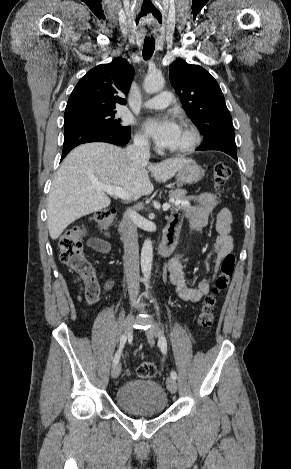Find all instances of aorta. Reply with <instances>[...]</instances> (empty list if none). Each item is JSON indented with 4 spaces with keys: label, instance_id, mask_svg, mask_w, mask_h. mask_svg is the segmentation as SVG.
<instances>
[{
    "label": "aorta",
    "instance_id": "762f6f07",
    "mask_svg": "<svg viewBox=\"0 0 291 469\" xmlns=\"http://www.w3.org/2000/svg\"><path fill=\"white\" fill-rule=\"evenodd\" d=\"M165 80L162 75H152L149 74L146 76L143 87L146 93L152 94L163 89ZM152 260H153V245L150 239H146L142 246L141 251V269L146 283V288H149V279L152 269Z\"/></svg>",
    "mask_w": 291,
    "mask_h": 469
}]
</instances>
